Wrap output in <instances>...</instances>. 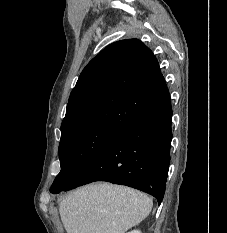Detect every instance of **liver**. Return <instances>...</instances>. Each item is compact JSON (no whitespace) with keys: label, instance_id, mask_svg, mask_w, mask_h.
<instances>
[{"label":"liver","instance_id":"obj_1","mask_svg":"<svg viewBox=\"0 0 227 233\" xmlns=\"http://www.w3.org/2000/svg\"><path fill=\"white\" fill-rule=\"evenodd\" d=\"M152 206L140 191L96 183L67 194L59 212L67 233H125L143 221Z\"/></svg>","mask_w":227,"mask_h":233}]
</instances>
